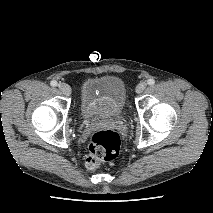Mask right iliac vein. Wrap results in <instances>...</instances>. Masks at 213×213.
<instances>
[{"label":"right iliac vein","instance_id":"right-iliac-vein-1","mask_svg":"<svg viewBox=\"0 0 213 213\" xmlns=\"http://www.w3.org/2000/svg\"><path fill=\"white\" fill-rule=\"evenodd\" d=\"M58 88L66 96H69L71 94V88L66 83H59Z\"/></svg>","mask_w":213,"mask_h":213}]
</instances>
